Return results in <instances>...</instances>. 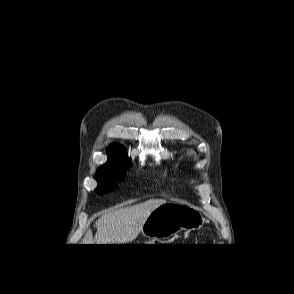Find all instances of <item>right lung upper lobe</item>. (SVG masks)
Returning a JSON list of instances; mask_svg holds the SVG:
<instances>
[{
	"label": "right lung upper lobe",
	"instance_id": "right-lung-upper-lobe-1",
	"mask_svg": "<svg viewBox=\"0 0 294 294\" xmlns=\"http://www.w3.org/2000/svg\"><path fill=\"white\" fill-rule=\"evenodd\" d=\"M108 151V162H130L125 149L119 144H112L107 148Z\"/></svg>",
	"mask_w": 294,
	"mask_h": 294
}]
</instances>
